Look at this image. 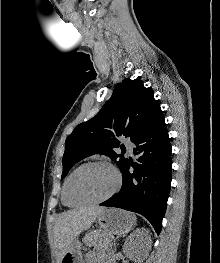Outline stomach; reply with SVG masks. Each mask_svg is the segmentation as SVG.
I'll return each mask as SVG.
<instances>
[{"label": "stomach", "instance_id": "obj_1", "mask_svg": "<svg viewBox=\"0 0 220 263\" xmlns=\"http://www.w3.org/2000/svg\"><path fill=\"white\" fill-rule=\"evenodd\" d=\"M96 222L106 234L108 248L110 239L113 235L127 234L136 224V218L132 213L121 209H105L98 217ZM82 243L75 239L71 248L65 253L60 263H84L82 255Z\"/></svg>", "mask_w": 220, "mask_h": 263}]
</instances>
